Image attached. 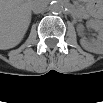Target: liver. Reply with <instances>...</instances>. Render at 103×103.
<instances>
[{
    "label": "liver",
    "mask_w": 103,
    "mask_h": 103,
    "mask_svg": "<svg viewBox=\"0 0 103 103\" xmlns=\"http://www.w3.org/2000/svg\"><path fill=\"white\" fill-rule=\"evenodd\" d=\"M31 2L6 0L1 2L0 47L2 50L17 46L31 22Z\"/></svg>",
    "instance_id": "obj_1"
}]
</instances>
